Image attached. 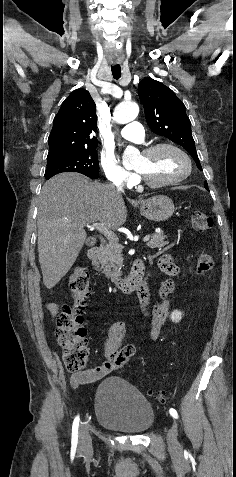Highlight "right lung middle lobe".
I'll list each match as a JSON object with an SVG mask.
<instances>
[{"instance_id":"obj_1","label":"right lung middle lobe","mask_w":236,"mask_h":477,"mask_svg":"<svg viewBox=\"0 0 236 477\" xmlns=\"http://www.w3.org/2000/svg\"><path fill=\"white\" fill-rule=\"evenodd\" d=\"M97 145L81 148L75 153L60 158L47 160L46 179L62 172H77L92 179L99 177Z\"/></svg>"}]
</instances>
